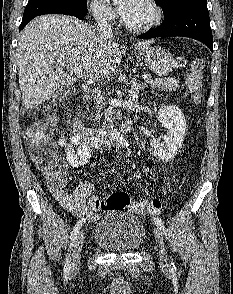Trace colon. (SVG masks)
<instances>
[{"label":"colon","mask_w":233,"mask_h":294,"mask_svg":"<svg viewBox=\"0 0 233 294\" xmlns=\"http://www.w3.org/2000/svg\"><path fill=\"white\" fill-rule=\"evenodd\" d=\"M203 67L202 59H195L189 70L186 84L188 93L195 104L201 102L203 95ZM26 141L29 154L35 164L46 174L55 186L64 185L65 162L56 155V145L52 140L48 125L38 122L28 127ZM93 209L120 210L128 208L137 214L154 216L159 214L162 204L159 200L141 199L132 202L124 192L114 193L105 200H92Z\"/></svg>","instance_id":"5ec220e1"}]
</instances>
